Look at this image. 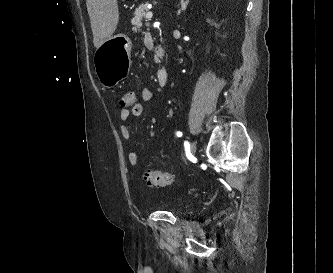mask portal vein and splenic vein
Here are the masks:
<instances>
[{
  "label": "portal vein and splenic vein",
  "instance_id": "obj_1",
  "mask_svg": "<svg viewBox=\"0 0 333 273\" xmlns=\"http://www.w3.org/2000/svg\"><path fill=\"white\" fill-rule=\"evenodd\" d=\"M152 16H153V13H152V12H147V14H146V18H147L148 20L151 19Z\"/></svg>",
  "mask_w": 333,
  "mask_h": 273
}]
</instances>
